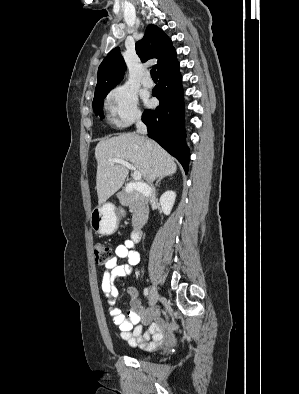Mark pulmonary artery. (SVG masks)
I'll return each mask as SVG.
<instances>
[{"mask_svg": "<svg viewBox=\"0 0 299 394\" xmlns=\"http://www.w3.org/2000/svg\"><path fill=\"white\" fill-rule=\"evenodd\" d=\"M142 85L147 88H151L153 86V80L150 77V74L147 72L145 73L142 79Z\"/></svg>", "mask_w": 299, "mask_h": 394, "instance_id": "1", "label": "pulmonary artery"}]
</instances>
